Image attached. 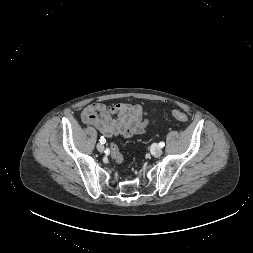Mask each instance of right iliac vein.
I'll list each match as a JSON object with an SVG mask.
<instances>
[{"label": "right iliac vein", "mask_w": 253, "mask_h": 253, "mask_svg": "<svg viewBox=\"0 0 253 253\" xmlns=\"http://www.w3.org/2000/svg\"><path fill=\"white\" fill-rule=\"evenodd\" d=\"M97 150H98L99 152H103V151H104V145H103L102 143H98V144H97Z\"/></svg>", "instance_id": "63e3f726"}]
</instances>
